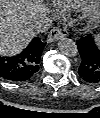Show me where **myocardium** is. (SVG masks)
I'll use <instances>...</instances> for the list:
<instances>
[{
  "label": "myocardium",
  "mask_w": 100,
  "mask_h": 118,
  "mask_svg": "<svg viewBox=\"0 0 100 118\" xmlns=\"http://www.w3.org/2000/svg\"><path fill=\"white\" fill-rule=\"evenodd\" d=\"M90 1L91 2L86 6L83 15L84 20L88 22L95 20L100 0H90Z\"/></svg>",
  "instance_id": "myocardium-1"
}]
</instances>
